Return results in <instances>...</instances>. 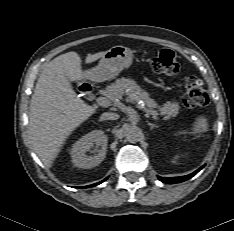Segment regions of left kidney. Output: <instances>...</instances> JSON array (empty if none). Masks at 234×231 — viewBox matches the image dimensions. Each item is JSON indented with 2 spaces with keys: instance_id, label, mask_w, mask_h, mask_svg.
Instances as JSON below:
<instances>
[{
  "instance_id": "1",
  "label": "left kidney",
  "mask_w": 234,
  "mask_h": 231,
  "mask_svg": "<svg viewBox=\"0 0 234 231\" xmlns=\"http://www.w3.org/2000/svg\"><path fill=\"white\" fill-rule=\"evenodd\" d=\"M178 157H179V156H175V157H174L173 162H175V161H176V159H178Z\"/></svg>"
}]
</instances>
